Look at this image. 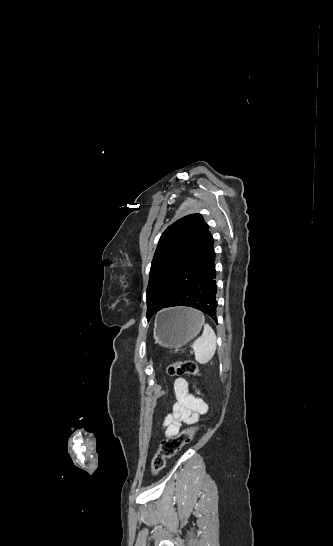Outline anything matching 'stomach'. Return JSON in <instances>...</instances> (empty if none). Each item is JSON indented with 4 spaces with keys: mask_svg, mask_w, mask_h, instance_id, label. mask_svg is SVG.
I'll use <instances>...</instances> for the list:
<instances>
[{
    "mask_svg": "<svg viewBox=\"0 0 333 546\" xmlns=\"http://www.w3.org/2000/svg\"><path fill=\"white\" fill-rule=\"evenodd\" d=\"M203 325L204 318L194 309H166L155 318V343L166 348H180L195 338Z\"/></svg>",
    "mask_w": 333,
    "mask_h": 546,
    "instance_id": "stomach-1",
    "label": "stomach"
}]
</instances>
